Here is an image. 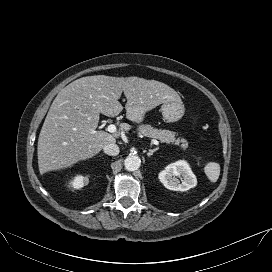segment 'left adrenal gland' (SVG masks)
I'll return each mask as SVG.
<instances>
[{"instance_id": "1", "label": "left adrenal gland", "mask_w": 272, "mask_h": 272, "mask_svg": "<svg viewBox=\"0 0 272 272\" xmlns=\"http://www.w3.org/2000/svg\"><path fill=\"white\" fill-rule=\"evenodd\" d=\"M159 148L151 149L149 152H147V156L150 157L153 155L154 152H156Z\"/></svg>"}]
</instances>
